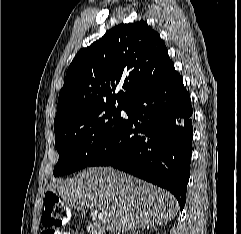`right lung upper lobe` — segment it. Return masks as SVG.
Returning <instances> with one entry per match:
<instances>
[{
    "label": "right lung upper lobe",
    "instance_id": "cb5924a9",
    "mask_svg": "<svg viewBox=\"0 0 241 234\" xmlns=\"http://www.w3.org/2000/svg\"><path fill=\"white\" fill-rule=\"evenodd\" d=\"M171 63L158 32L146 22L120 24L107 31L81 49L70 64L58 98L54 131L103 105L127 104ZM119 83L123 90L114 94Z\"/></svg>",
    "mask_w": 241,
    "mask_h": 234
}]
</instances>
